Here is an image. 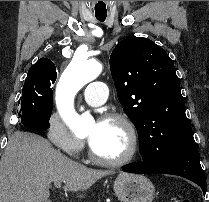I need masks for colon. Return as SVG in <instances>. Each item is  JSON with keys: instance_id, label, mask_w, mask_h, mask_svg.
Segmentation results:
<instances>
[{"instance_id": "1", "label": "colon", "mask_w": 209, "mask_h": 202, "mask_svg": "<svg viewBox=\"0 0 209 202\" xmlns=\"http://www.w3.org/2000/svg\"><path fill=\"white\" fill-rule=\"evenodd\" d=\"M171 202H192V201L189 199L179 198V199H174Z\"/></svg>"}]
</instances>
